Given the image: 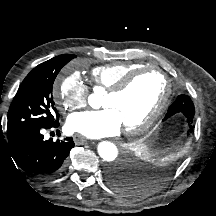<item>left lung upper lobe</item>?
I'll return each mask as SVG.
<instances>
[{
  "mask_svg": "<svg viewBox=\"0 0 216 216\" xmlns=\"http://www.w3.org/2000/svg\"><path fill=\"white\" fill-rule=\"evenodd\" d=\"M172 110H175V111H172ZM179 113L183 114L184 117L186 118V122L189 126V129L187 131V137H189L190 133L192 132L191 123L193 121L195 110H194V104L192 100L186 95H179L176 98L173 104L168 108V112L163 121L168 120L174 115L179 114ZM132 188L133 189L129 194H140L146 191L147 189L146 186H141L137 183H134Z\"/></svg>",
  "mask_w": 216,
  "mask_h": 216,
  "instance_id": "5c2ea615",
  "label": "left lung upper lobe"
}]
</instances>
